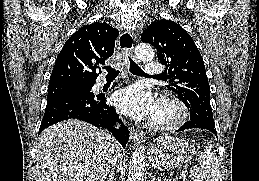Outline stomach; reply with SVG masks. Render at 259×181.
<instances>
[{"mask_svg": "<svg viewBox=\"0 0 259 181\" xmlns=\"http://www.w3.org/2000/svg\"><path fill=\"white\" fill-rule=\"evenodd\" d=\"M193 153V146L186 140L165 136L152 146L149 160L158 168L172 169L188 162Z\"/></svg>", "mask_w": 259, "mask_h": 181, "instance_id": "1", "label": "stomach"}]
</instances>
